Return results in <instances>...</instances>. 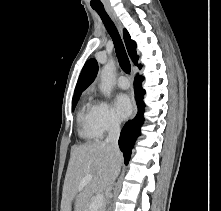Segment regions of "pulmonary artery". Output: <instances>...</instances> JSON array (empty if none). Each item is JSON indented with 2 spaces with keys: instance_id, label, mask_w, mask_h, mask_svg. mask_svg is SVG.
Returning a JSON list of instances; mask_svg holds the SVG:
<instances>
[{
  "instance_id": "obj_1",
  "label": "pulmonary artery",
  "mask_w": 221,
  "mask_h": 211,
  "mask_svg": "<svg viewBox=\"0 0 221 211\" xmlns=\"http://www.w3.org/2000/svg\"><path fill=\"white\" fill-rule=\"evenodd\" d=\"M117 85L121 89H128L130 86V83L125 76H120L117 80Z\"/></svg>"
}]
</instances>
